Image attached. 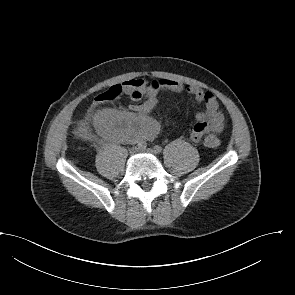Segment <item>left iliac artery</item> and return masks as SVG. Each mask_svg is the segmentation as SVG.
Segmentation results:
<instances>
[{
  "instance_id": "obj_1",
  "label": "left iliac artery",
  "mask_w": 295,
  "mask_h": 295,
  "mask_svg": "<svg viewBox=\"0 0 295 295\" xmlns=\"http://www.w3.org/2000/svg\"><path fill=\"white\" fill-rule=\"evenodd\" d=\"M154 151H155V153L159 154V153L162 152V147L159 146V145H155V146H154Z\"/></svg>"
}]
</instances>
